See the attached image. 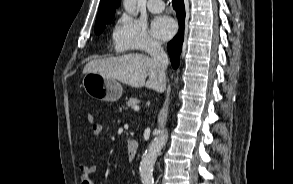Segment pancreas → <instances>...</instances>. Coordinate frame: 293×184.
<instances>
[{"label": "pancreas", "mask_w": 293, "mask_h": 184, "mask_svg": "<svg viewBox=\"0 0 293 184\" xmlns=\"http://www.w3.org/2000/svg\"><path fill=\"white\" fill-rule=\"evenodd\" d=\"M139 103V100L137 98H130L127 101V106L133 108L134 106H136Z\"/></svg>", "instance_id": "pancreas-1"}]
</instances>
